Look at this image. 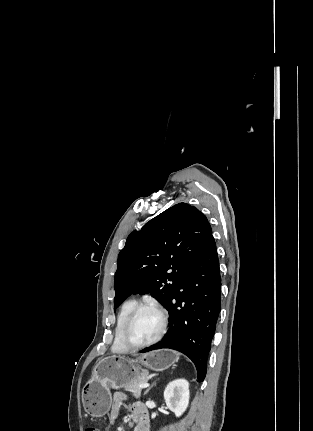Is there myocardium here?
<instances>
[{"instance_id": "1", "label": "myocardium", "mask_w": 313, "mask_h": 431, "mask_svg": "<svg viewBox=\"0 0 313 431\" xmlns=\"http://www.w3.org/2000/svg\"><path fill=\"white\" fill-rule=\"evenodd\" d=\"M146 308L154 309V310H156L159 313L160 318H161L160 330H159V332L157 333V335L153 339H151V340H149V341H147L145 343L136 344V343H133L130 340L129 333H130V330L132 328V325H133L134 320L137 317V315L143 309H146ZM167 320H168L167 313H166L165 309L162 306H160L159 304H157L155 302H150V301L142 302V303L137 304L132 309V311L130 312L129 316L127 317V319L125 321V324H124V327H123V330H122V342H123V344L128 349H131V350H138V349L146 348V347H149V346L155 344L164 335V333L166 331V328H167Z\"/></svg>"}]
</instances>
